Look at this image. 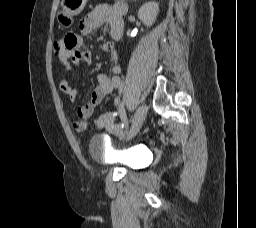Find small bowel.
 Segmentation results:
<instances>
[{
	"label": "small bowel",
	"instance_id": "c3829d8e",
	"mask_svg": "<svg viewBox=\"0 0 256 228\" xmlns=\"http://www.w3.org/2000/svg\"><path fill=\"white\" fill-rule=\"evenodd\" d=\"M126 12V5L122 1L113 4L97 5L88 13L80 23V34L69 33L62 40V49L58 54L60 63L69 71L73 66L80 63L90 64L92 55L90 51L83 50L84 37L93 33L104 24H109L111 34L114 38V31L117 28L123 29L122 16ZM102 51L108 53L111 58V75L101 74L98 76V85L91 95L89 102L77 108L79 119L74 122L73 127L77 132H84L88 128V121L92 116L95 107L100 105L103 99L121 88L120 77L121 66L118 63V55L113 41H105L100 45ZM60 91L71 101H75L79 95L76 87L72 86L66 79L59 84ZM107 129L114 134L121 132L120 125L112 123Z\"/></svg>",
	"mask_w": 256,
	"mask_h": 228
}]
</instances>
